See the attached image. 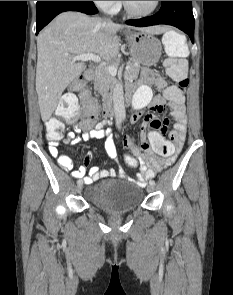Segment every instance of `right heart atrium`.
<instances>
[{
	"label": "right heart atrium",
	"mask_w": 233,
	"mask_h": 295,
	"mask_svg": "<svg viewBox=\"0 0 233 295\" xmlns=\"http://www.w3.org/2000/svg\"><path fill=\"white\" fill-rule=\"evenodd\" d=\"M102 10L112 13L116 11L119 1H93Z\"/></svg>",
	"instance_id": "1"
}]
</instances>
